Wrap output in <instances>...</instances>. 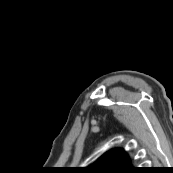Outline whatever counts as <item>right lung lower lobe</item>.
<instances>
[{
	"mask_svg": "<svg viewBox=\"0 0 173 173\" xmlns=\"http://www.w3.org/2000/svg\"><path fill=\"white\" fill-rule=\"evenodd\" d=\"M128 173H142L141 170H139L138 168H133L131 171H129Z\"/></svg>",
	"mask_w": 173,
	"mask_h": 173,
	"instance_id": "right-lung-lower-lobe-1",
	"label": "right lung lower lobe"
}]
</instances>
